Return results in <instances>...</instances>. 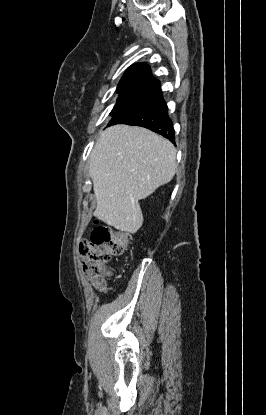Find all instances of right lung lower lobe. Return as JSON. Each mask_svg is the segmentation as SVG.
Returning a JSON list of instances; mask_svg holds the SVG:
<instances>
[{
	"instance_id": "1",
	"label": "right lung lower lobe",
	"mask_w": 266,
	"mask_h": 415,
	"mask_svg": "<svg viewBox=\"0 0 266 415\" xmlns=\"http://www.w3.org/2000/svg\"><path fill=\"white\" fill-rule=\"evenodd\" d=\"M167 111V105L159 89L114 115L108 125L128 124L145 127L175 144L174 129Z\"/></svg>"
}]
</instances>
